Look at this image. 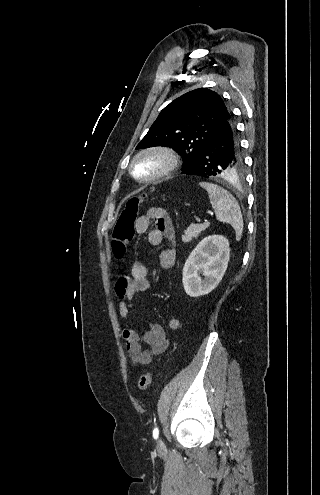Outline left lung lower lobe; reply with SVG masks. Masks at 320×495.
<instances>
[{
	"mask_svg": "<svg viewBox=\"0 0 320 495\" xmlns=\"http://www.w3.org/2000/svg\"><path fill=\"white\" fill-rule=\"evenodd\" d=\"M240 159V145L230 116L182 173L208 178L219 176L229 168L233 170L231 175H235Z\"/></svg>",
	"mask_w": 320,
	"mask_h": 495,
	"instance_id": "0a47b994",
	"label": "left lung lower lobe"
}]
</instances>
